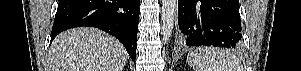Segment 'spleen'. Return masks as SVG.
<instances>
[{"instance_id":"1","label":"spleen","mask_w":301,"mask_h":71,"mask_svg":"<svg viewBox=\"0 0 301 71\" xmlns=\"http://www.w3.org/2000/svg\"><path fill=\"white\" fill-rule=\"evenodd\" d=\"M187 62L195 71H243L235 54L219 48L197 49L188 54Z\"/></svg>"}]
</instances>
